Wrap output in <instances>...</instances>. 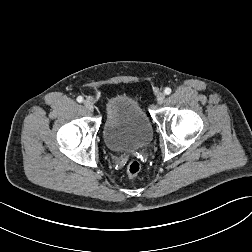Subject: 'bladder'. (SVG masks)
Masks as SVG:
<instances>
[{
    "mask_svg": "<svg viewBox=\"0 0 252 252\" xmlns=\"http://www.w3.org/2000/svg\"><path fill=\"white\" fill-rule=\"evenodd\" d=\"M152 125L139 104L128 96H116L106 105L103 138L113 152H133L147 146Z\"/></svg>",
    "mask_w": 252,
    "mask_h": 252,
    "instance_id": "bladder-1",
    "label": "bladder"
}]
</instances>
